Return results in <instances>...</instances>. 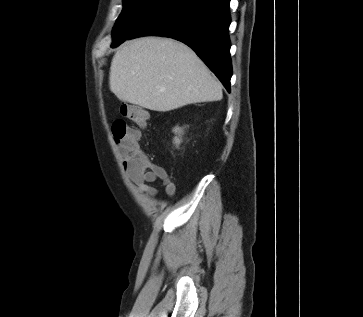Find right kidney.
<instances>
[{
  "mask_svg": "<svg viewBox=\"0 0 363 317\" xmlns=\"http://www.w3.org/2000/svg\"><path fill=\"white\" fill-rule=\"evenodd\" d=\"M173 131L176 134H178L179 136H180L181 133H183V130L181 128H177V127ZM174 142H175V144H179L180 143V139L178 137H175L174 138Z\"/></svg>",
  "mask_w": 363,
  "mask_h": 317,
  "instance_id": "ca27d5eb",
  "label": "right kidney"
}]
</instances>
